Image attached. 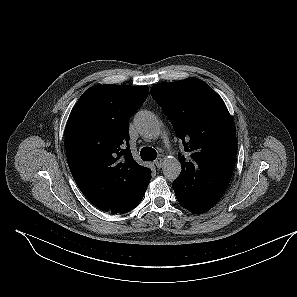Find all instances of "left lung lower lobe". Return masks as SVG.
Returning <instances> with one entry per match:
<instances>
[{
	"instance_id": "0a47b994",
	"label": "left lung lower lobe",
	"mask_w": 297,
	"mask_h": 297,
	"mask_svg": "<svg viewBox=\"0 0 297 297\" xmlns=\"http://www.w3.org/2000/svg\"><path fill=\"white\" fill-rule=\"evenodd\" d=\"M181 186H182V184L177 181H174L172 184V187L175 191V195H176V198L178 201H180ZM211 208H212V206L204 207V208H193V209L187 208V210H189L195 214H202Z\"/></svg>"
}]
</instances>
